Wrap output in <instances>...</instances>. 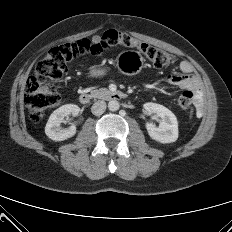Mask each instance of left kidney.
<instances>
[{
    "label": "left kidney",
    "mask_w": 232,
    "mask_h": 232,
    "mask_svg": "<svg viewBox=\"0 0 232 232\" xmlns=\"http://www.w3.org/2000/svg\"><path fill=\"white\" fill-rule=\"evenodd\" d=\"M147 114H156L161 118L159 127L146 123L149 136L160 143H172L178 139V121L174 113L163 105L148 102L143 105Z\"/></svg>",
    "instance_id": "1"
}]
</instances>
